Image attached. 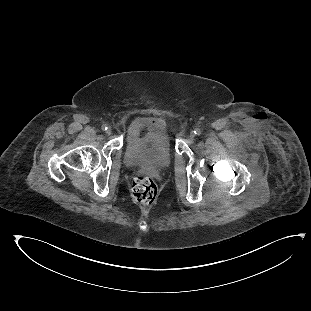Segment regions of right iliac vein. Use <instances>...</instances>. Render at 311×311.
Instances as JSON below:
<instances>
[{
  "instance_id": "63e3f726",
  "label": "right iliac vein",
  "mask_w": 311,
  "mask_h": 311,
  "mask_svg": "<svg viewBox=\"0 0 311 311\" xmlns=\"http://www.w3.org/2000/svg\"><path fill=\"white\" fill-rule=\"evenodd\" d=\"M112 133V130L110 128H108V130L106 131L107 135H110Z\"/></svg>"
}]
</instances>
